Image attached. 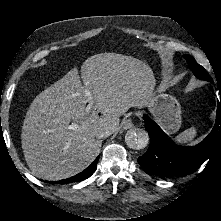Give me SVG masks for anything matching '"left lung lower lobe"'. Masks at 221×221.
I'll use <instances>...</instances> for the list:
<instances>
[{"label": "left lung lower lobe", "mask_w": 221, "mask_h": 221, "mask_svg": "<svg viewBox=\"0 0 221 221\" xmlns=\"http://www.w3.org/2000/svg\"><path fill=\"white\" fill-rule=\"evenodd\" d=\"M220 104L221 101L218 102L213 130L201 143L192 147L178 146L172 143L162 129L151 118L144 115L150 146L147 152L138 158L142 169L147 174L162 178L183 176L196 171L216 148L221 147Z\"/></svg>", "instance_id": "0a47b994"}]
</instances>
